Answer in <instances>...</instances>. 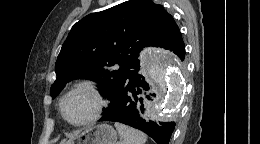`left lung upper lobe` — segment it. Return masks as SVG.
Returning <instances> with one entry per match:
<instances>
[{"label":"left lung upper lobe","mask_w":260,"mask_h":144,"mask_svg":"<svg viewBox=\"0 0 260 144\" xmlns=\"http://www.w3.org/2000/svg\"><path fill=\"white\" fill-rule=\"evenodd\" d=\"M179 32L173 17L150 0H130L89 14L74 24L62 45L50 94L57 96L73 79H89L112 101L126 71L139 63L140 50L163 48Z\"/></svg>","instance_id":"1"}]
</instances>
